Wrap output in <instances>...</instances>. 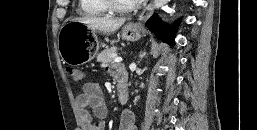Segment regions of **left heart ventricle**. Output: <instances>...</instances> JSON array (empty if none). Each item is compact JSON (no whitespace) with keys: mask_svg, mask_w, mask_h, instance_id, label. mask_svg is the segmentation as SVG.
Returning <instances> with one entry per match:
<instances>
[{"mask_svg":"<svg viewBox=\"0 0 257 130\" xmlns=\"http://www.w3.org/2000/svg\"><path fill=\"white\" fill-rule=\"evenodd\" d=\"M121 6H129L137 2V0H115Z\"/></svg>","mask_w":257,"mask_h":130,"instance_id":"b2bd125f","label":"left heart ventricle"}]
</instances>
